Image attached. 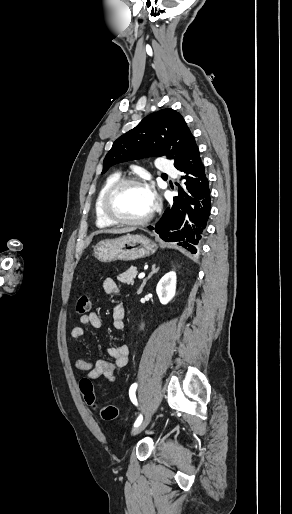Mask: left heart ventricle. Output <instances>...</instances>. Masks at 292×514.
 I'll use <instances>...</instances> for the list:
<instances>
[{
    "label": "left heart ventricle",
    "mask_w": 292,
    "mask_h": 514,
    "mask_svg": "<svg viewBox=\"0 0 292 514\" xmlns=\"http://www.w3.org/2000/svg\"><path fill=\"white\" fill-rule=\"evenodd\" d=\"M111 211L123 219H138L145 216L151 204L143 187L128 186L117 190L109 201Z\"/></svg>",
    "instance_id": "obj_1"
}]
</instances>
